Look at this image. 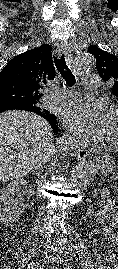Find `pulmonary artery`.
<instances>
[{"label":"pulmonary artery","mask_w":118,"mask_h":269,"mask_svg":"<svg viewBox=\"0 0 118 269\" xmlns=\"http://www.w3.org/2000/svg\"><path fill=\"white\" fill-rule=\"evenodd\" d=\"M86 87L90 90L96 89L100 85V79L97 76H90L84 80ZM79 100V95L76 92H69L63 97H55L52 99L53 103L59 105L74 104Z\"/></svg>","instance_id":"e3ab8cb5"}]
</instances>
